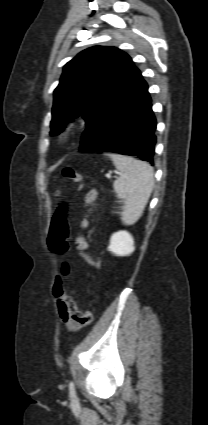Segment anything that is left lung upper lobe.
Returning <instances> with one entry per match:
<instances>
[{"label":"left lung upper lobe","mask_w":208,"mask_h":425,"mask_svg":"<svg viewBox=\"0 0 208 425\" xmlns=\"http://www.w3.org/2000/svg\"><path fill=\"white\" fill-rule=\"evenodd\" d=\"M139 72L131 58L115 47L95 46L80 52L64 66L54 90L50 134H59L79 116L88 127Z\"/></svg>","instance_id":"obj_1"}]
</instances>
